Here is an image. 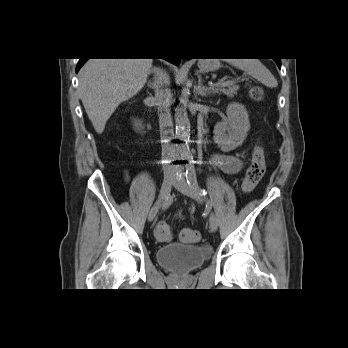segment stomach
<instances>
[{
  "label": "stomach",
  "mask_w": 348,
  "mask_h": 348,
  "mask_svg": "<svg viewBox=\"0 0 348 348\" xmlns=\"http://www.w3.org/2000/svg\"><path fill=\"white\" fill-rule=\"evenodd\" d=\"M199 67L204 72H212L216 71L220 67V63L218 62V60L202 59L200 60Z\"/></svg>",
  "instance_id": "0dacf381"
}]
</instances>
